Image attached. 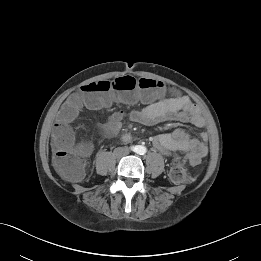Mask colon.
<instances>
[{
  "label": "colon",
  "mask_w": 261,
  "mask_h": 261,
  "mask_svg": "<svg viewBox=\"0 0 261 261\" xmlns=\"http://www.w3.org/2000/svg\"><path fill=\"white\" fill-rule=\"evenodd\" d=\"M163 82L124 76L115 80H100L87 83L81 87L83 101L92 107H103L109 102L106 97L113 96V101L124 104L136 102L149 103L165 92ZM81 97H73L62 109L61 123L54 130V138L59 149L54 156V165L61 175L73 181L80 180L85 170V147L75 141L73 130L67 122L77 112ZM171 179L176 183H185L191 180L192 175L187 168V158L178 155L173 161L170 170Z\"/></svg>",
  "instance_id": "5ec220e1"
}]
</instances>
